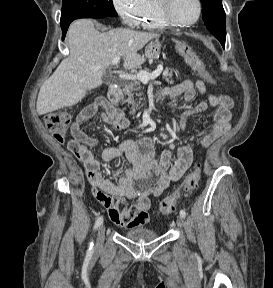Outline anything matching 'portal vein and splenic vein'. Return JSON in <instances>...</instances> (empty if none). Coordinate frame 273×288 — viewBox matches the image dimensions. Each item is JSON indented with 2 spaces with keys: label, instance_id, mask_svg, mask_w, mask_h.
<instances>
[{
  "label": "portal vein and splenic vein",
  "instance_id": "18ae733b",
  "mask_svg": "<svg viewBox=\"0 0 273 288\" xmlns=\"http://www.w3.org/2000/svg\"><path fill=\"white\" fill-rule=\"evenodd\" d=\"M120 61V57H115L112 60L113 65H117ZM163 70V66L159 65L156 70L152 73H148L146 71H140L136 75L133 74H120V79L124 80H140L142 83H148L149 80L157 78Z\"/></svg>",
  "mask_w": 273,
  "mask_h": 288
}]
</instances>
